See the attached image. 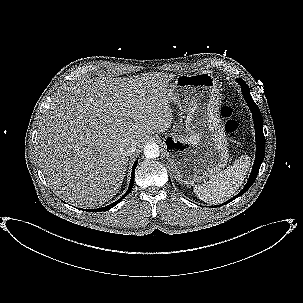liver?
Segmentation results:
<instances>
[{"mask_svg":"<svg viewBox=\"0 0 303 303\" xmlns=\"http://www.w3.org/2000/svg\"><path fill=\"white\" fill-rule=\"evenodd\" d=\"M173 74L98 76L57 94L43 116L38 160L54 193L79 207H95L120 190L128 158L120 144L140 145L172 124Z\"/></svg>","mask_w":303,"mask_h":303,"instance_id":"obj_1","label":"liver"}]
</instances>
